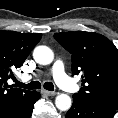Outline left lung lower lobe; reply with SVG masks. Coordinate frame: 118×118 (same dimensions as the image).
I'll return each instance as SVG.
<instances>
[{
  "label": "left lung lower lobe",
  "mask_w": 118,
  "mask_h": 118,
  "mask_svg": "<svg viewBox=\"0 0 118 118\" xmlns=\"http://www.w3.org/2000/svg\"><path fill=\"white\" fill-rule=\"evenodd\" d=\"M116 109L104 105L83 102L73 98V105L66 118H112Z\"/></svg>",
  "instance_id": "1"
}]
</instances>
